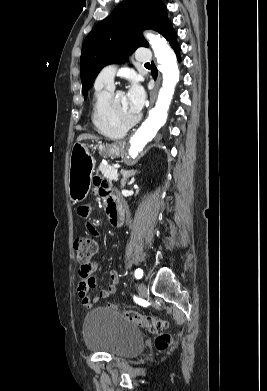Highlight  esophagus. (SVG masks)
<instances>
[{"instance_id":"esophagus-1","label":"esophagus","mask_w":267,"mask_h":391,"mask_svg":"<svg viewBox=\"0 0 267 391\" xmlns=\"http://www.w3.org/2000/svg\"><path fill=\"white\" fill-rule=\"evenodd\" d=\"M160 82H161V78H160V76H159V77H158V80H157V84H156L154 90H153V91L151 92V94H150V102H151V105L154 104V101H155V99H156V94H157L158 88H159V86H160Z\"/></svg>"}]
</instances>
